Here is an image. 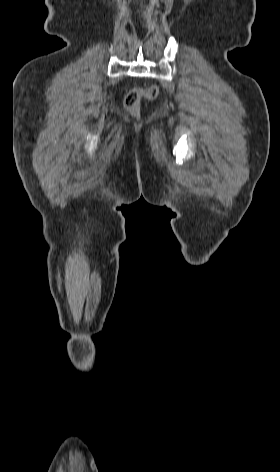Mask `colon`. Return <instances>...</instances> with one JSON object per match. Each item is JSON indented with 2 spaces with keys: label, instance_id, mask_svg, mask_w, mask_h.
<instances>
[{
  "label": "colon",
  "instance_id": "obj_1",
  "mask_svg": "<svg viewBox=\"0 0 280 472\" xmlns=\"http://www.w3.org/2000/svg\"><path fill=\"white\" fill-rule=\"evenodd\" d=\"M159 89L157 86H150L148 88H133L125 96L124 106L132 114H138L140 101L142 98L152 100L158 95Z\"/></svg>",
  "mask_w": 280,
  "mask_h": 472
}]
</instances>
